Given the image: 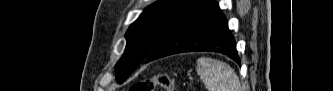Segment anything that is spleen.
I'll return each mask as SVG.
<instances>
[{
	"mask_svg": "<svg viewBox=\"0 0 333 91\" xmlns=\"http://www.w3.org/2000/svg\"><path fill=\"white\" fill-rule=\"evenodd\" d=\"M196 71L208 91H241L235 70L223 61L201 57L196 62Z\"/></svg>",
	"mask_w": 333,
	"mask_h": 91,
	"instance_id": "3e777b00",
	"label": "spleen"
}]
</instances>
